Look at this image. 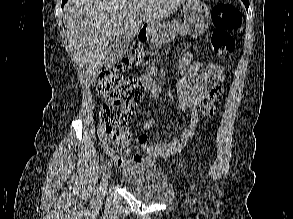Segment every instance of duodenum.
<instances>
[{
  "label": "duodenum",
  "mask_w": 293,
  "mask_h": 219,
  "mask_svg": "<svg viewBox=\"0 0 293 219\" xmlns=\"http://www.w3.org/2000/svg\"><path fill=\"white\" fill-rule=\"evenodd\" d=\"M148 37H149V28L145 25L140 29L138 33V43L139 44L145 43Z\"/></svg>",
  "instance_id": "obj_1"
}]
</instances>
